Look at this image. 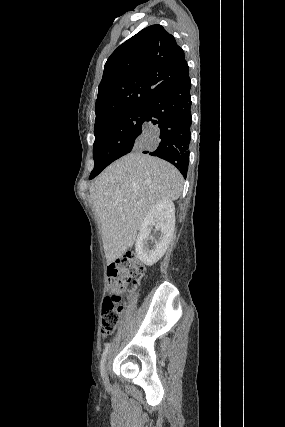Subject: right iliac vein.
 I'll use <instances>...</instances> for the list:
<instances>
[{
  "mask_svg": "<svg viewBox=\"0 0 285 427\" xmlns=\"http://www.w3.org/2000/svg\"><path fill=\"white\" fill-rule=\"evenodd\" d=\"M103 381H104V383H107V382H108V378H107L106 371H105V374H104V377H103Z\"/></svg>",
  "mask_w": 285,
  "mask_h": 427,
  "instance_id": "63e3f726",
  "label": "right iliac vein"
}]
</instances>
